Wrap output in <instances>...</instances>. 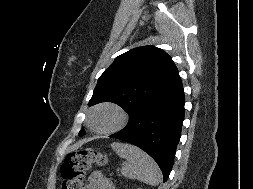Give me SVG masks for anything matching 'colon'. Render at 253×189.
<instances>
[{
  "mask_svg": "<svg viewBox=\"0 0 253 189\" xmlns=\"http://www.w3.org/2000/svg\"><path fill=\"white\" fill-rule=\"evenodd\" d=\"M106 159L94 149L69 153L61 167L62 189H85L86 175L94 165H104Z\"/></svg>",
  "mask_w": 253,
  "mask_h": 189,
  "instance_id": "colon-1",
  "label": "colon"
}]
</instances>
